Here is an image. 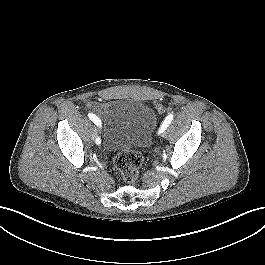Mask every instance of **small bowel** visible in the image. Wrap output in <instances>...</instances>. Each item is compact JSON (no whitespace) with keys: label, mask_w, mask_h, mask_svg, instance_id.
I'll return each instance as SVG.
<instances>
[{"label":"small bowel","mask_w":265,"mask_h":265,"mask_svg":"<svg viewBox=\"0 0 265 265\" xmlns=\"http://www.w3.org/2000/svg\"><path fill=\"white\" fill-rule=\"evenodd\" d=\"M88 106L96 111H101L103 109H105V105L104 104H101L99 102H96V101H90L88 103Z\"/></svg>","instance_id":"c3829d8e"}]
</instances>
